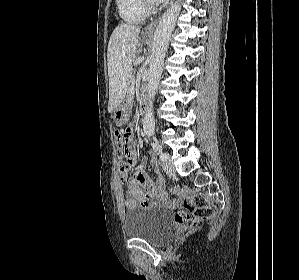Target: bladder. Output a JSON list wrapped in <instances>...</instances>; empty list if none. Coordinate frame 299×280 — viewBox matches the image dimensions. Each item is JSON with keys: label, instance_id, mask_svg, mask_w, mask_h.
I'll use <instances>...</instances> for the list:
<instances>
[{"label": "bladder", "instance_id": "1", "mask_svg": "<svg viewBox=\"0 0 299 280\" xmlns=\"http://www.w3.org/2000/svg\"><path fill=\"white\" fill-rule=\"evenodd\" d=\"M123 226L127 237L159 246L170 239L175 223L169 210L153 206L128 211L124 215Z\"/></svg>", "mask_w": 299, "mask_h": 280}]
</instances>
